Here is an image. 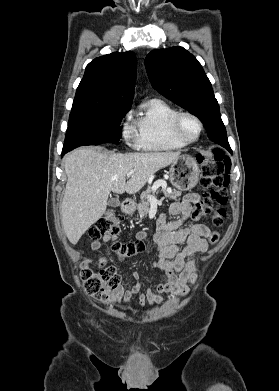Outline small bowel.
Segmentation results:
<instances>
[{"label": "small bowel", "instance_id": "small-bowel-1", "mask_svg": "<svg viewBox=\"0 0 279 391\" xmlns=\"http://www.w3.org/2000/svg\"><path fill=\"white\" fill-rule=\"evenodd\" d=\"M200 196L197 193L187 194L180 202H173L168 207V213L177 216L174 221H167L166 213L160 215L157 225L153 231V240L157 248V258L153 267L165 273V282L158 283L154 287L142 290V278L138 272H133V281L126 287H119L117 296L126 304L131 302L134 295H139V307L146 304L154 306L163 302L160 294L171 293L172 295L183 296L186 293L187 282L195 278V263L191 257L197 253H204L209 248L208 238L211 229L205 224L192 223L183 227L186 220L193 217L192 205L199 203ZM147 233L144 231L136 234L137 239H144ZM95 240L91 248L96 251L101 248L104 242ZM91 261L85 260L83 267H89Z\"/></svg>", "mask_w": 279, "mask_h": 391}]
</instances>
